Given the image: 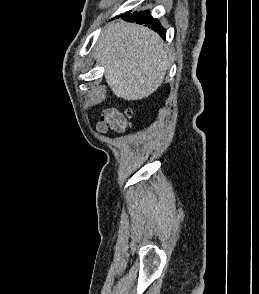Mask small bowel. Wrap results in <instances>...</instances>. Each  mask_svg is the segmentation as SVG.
Listing matches in <instances>:
<instances>
[{
  "label": "small bowel",
  "mask_w": 259,
  "mask_h": 294,
  "mask_svg": "<svg viewBox=\"0 0 259 294\" xmlns=\"http://www.w3.org/2000/svg\"><path fill=\"white\" fill-rule=\"evenodd\" d=\"M126 127V119L117 109L111 108L103 111L100 120L96 124V129L100 133L109 130L122 132Z\"/></svg>",
  "instance_id": "c3829d8e"
}]
</instances>
